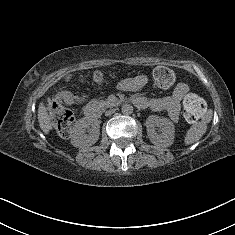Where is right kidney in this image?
<instances>
[{
  "label": "right kidney",
  "mask_w": 235,
  "mask_h": 235,
  "mask_svg": "<svg viewBox=\"0 0 235 235\" xmlns=\"http://www.w3.org/2000/svg\"><path fill=\"white\" fill-rule=\"evenodd\" d=\"M90 128V122L79 120L71 133V143L75 147H87L95 144L100 134V121L95 119ZM86 129H89V133H86Z\"/></svg>",
  "instance_id": "ca27d5eb"
}]
</instances>
